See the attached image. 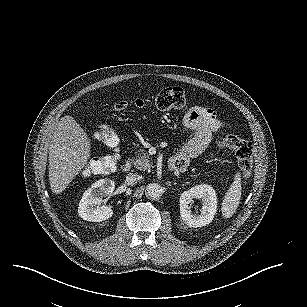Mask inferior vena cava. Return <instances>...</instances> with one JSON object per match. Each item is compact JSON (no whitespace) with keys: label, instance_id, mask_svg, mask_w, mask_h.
I'll return each mask as SVG.
<instances>
[{"label":"inferior vena cava","instance_id":"inferior-vena-cava-1","mask_svg":"<svg viewBox=\"0 0 307 307\" xmlns=\"http://www.w3.org/2000/svg\"><path fill=\"white\" fill-rule=\"evenodd\" d=\"M126 183L129 186H135L138 183V175L135 173H130L126 177Z\"/></svg>","mask_w":307,"mask_h":307}]
</instances>
